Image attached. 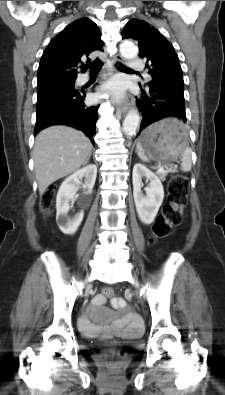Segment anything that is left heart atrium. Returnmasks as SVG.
<instances>
[{
    "label": "left heart atrium",
    "instance_id": "left-heart-atrium-1",
    "mask_svg": "<svg viewBox=\"0 0 225 395\" xmlns=\"http://www.w3.org/2000/svg\"><path fill=\"white\" fill-rule=\"evenodd\" d=\"M104 91L116 97H121L124 92V85L119 80H114L104 87Z\"/></svg>",
    "mask_w": 225,
    "mask_h": 395
}]
</instances>
